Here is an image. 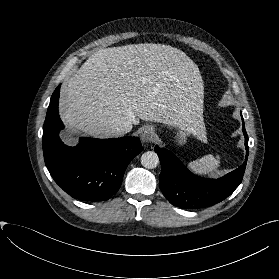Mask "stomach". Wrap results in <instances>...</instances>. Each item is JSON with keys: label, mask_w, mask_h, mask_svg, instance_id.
<instances>
[{"label": "stomach", "mask_w": 279, "mask_h": 279, "mask_svg": "<svg viewBox=\"0 0 279 279\" xmlns=\"http://www.w3.org/2000/svg\"><path fill=\"white\" fill-rule=\"evenodd\" d=\"M196 120L199 122V124L203 123L202 115L200 114V116ZM174 132H175L176 142H178V144H180V145L185 144L187 142V139L192 134L190 126L180 125V124L175 126Z\"/></svg>", "instance_id": "1"}]
</instances>
